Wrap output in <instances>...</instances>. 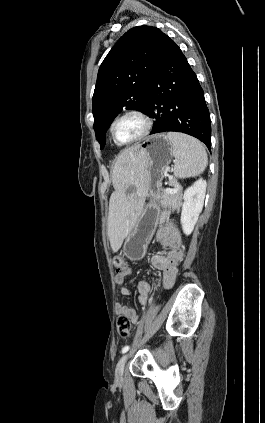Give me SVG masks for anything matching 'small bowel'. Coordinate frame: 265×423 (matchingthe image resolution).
Instances as JSON below:
<instances>
[{
  "label": "small bowel",
  "mask_w": 265,
  "mask_h": 423,
  "mask_svg": "<svg viewBox=\"0 0 265 423\" xmlns=\"http://www.w3.org/2000/svg\"><path fill=\"white\" fill-rule=\"evenodd\" d=\"M155 239L164 246L167 251L163 254H156L151 257V265L154 269L162 272V285L165 289L173 286L177 273L178 265L183 261L185 252L182 248V239L179 231L172 223H167L160 227L155 233ZM131 274L128 266H123L120 270L116 269L115 281L119 285L120 294L128 296L130 289L124 284V280ZM138 302L147 306L153 302L152 288L148 281L141 280L137 284ZM117 315H125L132 324H137L140 320L139 314L127 305L117 303L115 306Z\"/></svg>",
  "instance_id": "c3829d8e"
}]
</instances>
